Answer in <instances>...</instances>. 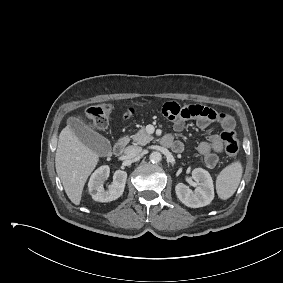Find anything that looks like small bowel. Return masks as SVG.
Returning <instances> with one entry per match:
<instances>
[{"instance_id":"c3829d8e","label":"small bowel","mask_w":283,"mask_h":283,"mask_svg":"<svg viewBox=\"0 0 283 283\" xmlns=\"http://www.w3.org/2000/svg\"><path fill=\"white\" fill-rule=\"evenodd\" d=\"M136 111V107H130L124 115V119L135 114ZM162 112L172 122L174 130L177 132L184 129L188 120H196L197 126L202 130L207 129L212 124H218L223 130H233L235 126V121L230 115L198 104L180 106L175 102H168L163 105ZM164 139L166 140L164 145L171 147L175 152L184 150L183 143L176 140L172 135H167ZM197 150L205 165L214 168L219 160L218 154L223 150V144L218 135L211 134L206 141L198 145Z\"/></svg>"}]
</instances>
